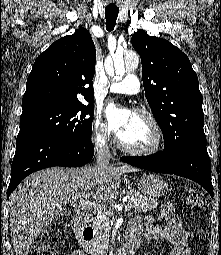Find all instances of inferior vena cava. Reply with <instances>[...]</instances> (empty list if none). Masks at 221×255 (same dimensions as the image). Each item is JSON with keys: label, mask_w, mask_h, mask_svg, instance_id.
<instances>
[{"label": "inferior vena cava", "mask_w": 221, "mask_h": 255, "mask_svg": "<svg viewBox=\"0 0 221 255\" xmlns=\"http://www.w3.org/2000/svg\"><path fill=\"white\" fill-rule=\"evenodd\" d=\"M95 157H96L97 167L101 169H105L109 167V161H110L111 155H110L109 148L106 145L105 138H102L97 143Z\"/></svg>", "instance_id": "1"}]
</instances>
